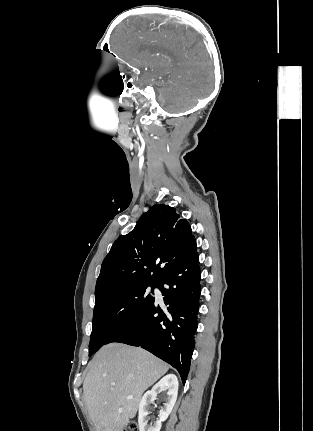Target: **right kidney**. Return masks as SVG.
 <instances>
[{
    "instance_id": "right-kidney-1",
    "label": "right kidney",
    "mask_w": 313,
    "mask_h": 431,
    "mask_svg": "<svg viewBox=\"0 0 313 431\" xmlns=\"http://www.w3.org/2000/svg\"><path fill=\"white\" fill-rule=\"evenodd\" d=\"M166 391L164 407L161 408L159 419L154 424H147L150 404L154 402L158 392ZM178 395V380L174 374L164 376L152 390L147 391L139 404L138 424L139 431H160L162 422L165 421L171 413Z\"/></svg>"
}]
</instances>
